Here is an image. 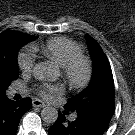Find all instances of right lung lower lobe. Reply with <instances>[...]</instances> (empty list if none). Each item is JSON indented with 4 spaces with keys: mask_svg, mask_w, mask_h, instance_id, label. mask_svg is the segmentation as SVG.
Returning <instances> with one entry per match:
<instances>
[{
    "mask_svg": "<svg viewBox=\"0 0 135 135\" xmlns=\"http://www.w3.org/2000/svg\"><path fill=\"white\" fill-rule=\"evenodd\" d=\"M32 108V100L24 98L13 102L0 95V135H15L22 115Z\"/></svg>",
    "mask_w": 135,
    "mask_h": 135,
    "instance_id": "right-lung-lower-lobe-1",
    "label": "right lung lower lobe"
}]
</instances>
